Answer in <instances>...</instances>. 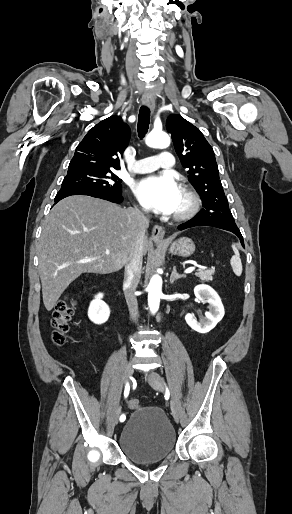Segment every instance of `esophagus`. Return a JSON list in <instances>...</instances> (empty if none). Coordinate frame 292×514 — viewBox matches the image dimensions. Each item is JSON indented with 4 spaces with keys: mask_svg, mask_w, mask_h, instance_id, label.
<instances>
[{
    "mask_svg": "<svg viewBox=\"0 0 292 514\" xmlns=\"http://www.w3.org/2000/svg\"><path fill=\"white\" fill-rule=\"evenodd\" d=\"M142 103L148 107L152 112L155 109V99L150 91H145L142 96ZM154 242L163 243L165 238V230L160 225H154L151 234Z\"/></svg>",
    "mask_w": 292,
    "mask_h": 514,
    "instance_id": "obj_1",
    "label": "esophagus"
}]
</instances>
